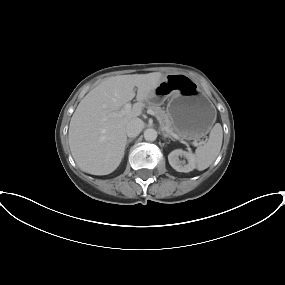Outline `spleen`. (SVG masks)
<instances>
[{
    "label": "spleen",
    "mask_w": 285,
    "mask_h": 285,
    "mask_svg": "<svg viewBox=\"0 0 285 285\" xmlns=\"http://www.w3.org/2000/svg\"><path fill=\"white\" fill-rule=\"evenodd\" d=\"M223 141V130L219 123H216L209 134L206 144L199 146L194 154L196 167L199 171L207 169L217 158Z\"/></svg>",
    "instance_id": "obj_1"
}]
</instances>
